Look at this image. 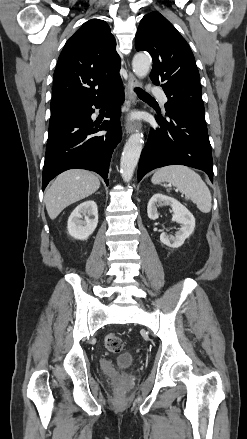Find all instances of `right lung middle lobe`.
Instances as JSON below:
<instances>
[{"instance_id": "dd1d6c3e", "label": "right lung middle lobe", "mask_w": 247, "mask_h": 439, "mask_svg": "<svg viewBox=\"0 0 247 439\" xmlns=\"http://www.w3.org/2000/svg\"><path fill=\"white\" fill-rule=\"evenodd\" d=\"M70 110L67 111H61V112H52L51 113V117H50V121L56 120L59 117L65 115L66 113H68Z\"/></svg>"}]
</instances>
